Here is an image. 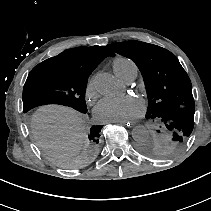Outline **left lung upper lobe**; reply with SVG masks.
<instances>
[{
	"label": "left lung upper lobe",
	"mask_w": 211,
	"mask_h": 211,
	"mask_svg": "<svg viewBox=\"0 0 211 211\" xmlns=\"http://www.w3.org/2000/svg\"><path fill=\"white\" fill-rule=\"evenodd\" d=\"M109 50L135 62L144 78L149 99L146 118L157 130L139 143L151 158H166L185 146L194 127L195 102L191 81L178 59L168 50L140 41L107 45Z\"/></svg>",
	"instance_id": "1"
}]
</instances>
